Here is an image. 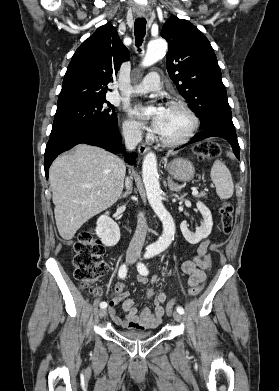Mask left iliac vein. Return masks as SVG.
Returning a JSON list of instances; mask_svg holds the SVG:
<instances>
[{
    "label": "left iliac vein",
    "instance_id": "4c4485c4",
    "mask_svg": "<svg viewBox=\"0 0 279 391\" xmlns=\"http://www.w3.org/2000/svg\"><path fill=\"white\" fill-rule=\"evenodd\" d=\"M173 318L177 322H181L182 321V315L179 312H177V311L173 312Z\"/></svg>",
    "mask_w": 279,
    "mask_h": 391
}]
</instances>
